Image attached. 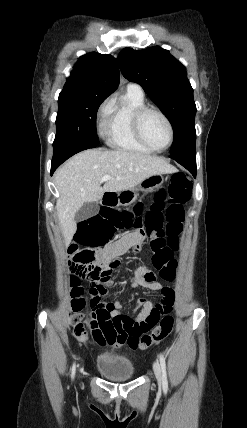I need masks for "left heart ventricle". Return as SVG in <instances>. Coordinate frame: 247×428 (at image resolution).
<instances>
[{"label": "left heart ventricle", "mask_w": 247, "mask_h": 428, "mask_svg": "<svg viewBox=\"0 0 247 428\" xmlns=\"http://www.w3.org/2000/svg\"><path fill=\"white\" fill-rule=\"evenodd\" d=\"M142 129L147 141L155 148H163L169 140V130L165 121L154 112L147 113L142 121Z\"/></svg>", "instance_id": "1"}]
</instances>
